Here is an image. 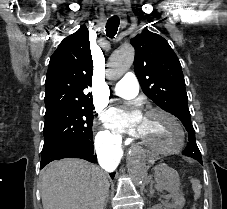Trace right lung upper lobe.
I'll list each match as a JSON object with an SVG mask.
<instances>
[{
  "label": "right lung upper lobe",
  "instance_id": "obj_1",
  "mask_svg": "<svg viewBox=\"0 0 227 209\" xmlns=\"http://www.w3.org/2000/svg\"><path fill=\"white\" fill-rule=\"evenodd\" d=\"M93 61L85 25L66 37L51 56L45 81V104L52 99L92 98L84 90L92 85Z\"/></svg>",
  "mask_w": 227,
  "mask_h": 209
}]
</instances>
